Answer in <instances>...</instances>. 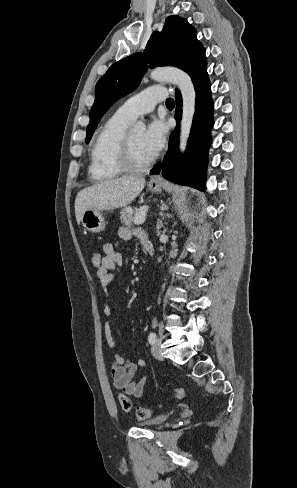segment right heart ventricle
Segmentation results:
<instances>
[{
  "label": "right heart ventricle",
  "mask_w": 297,
  "mask_h": 488,
  "mask_svg": "<svg viewBox=\"0 0 297 488\" xmlns=\"http://www.w3.org/2000/svg\"><path fill=\"white\" fill-rule=\"evenodd\" d=\"M130 123L114 114L99 130L90 151L89 174L93 180L111 181L124 174L119 164V153Z\"/></svg>",
  "instance_id": "right-heart-ventricle-1"
}]
</instances>
